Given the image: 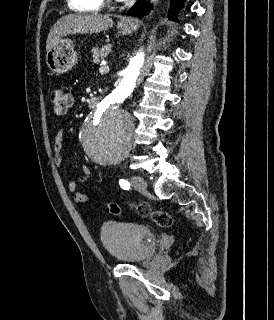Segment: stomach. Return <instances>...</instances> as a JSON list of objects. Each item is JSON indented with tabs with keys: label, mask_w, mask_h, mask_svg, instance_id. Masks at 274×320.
<instances>
[{
	"label": "stomach",
	"mask_w": 274,
	"mask_h": 320,
	"mask_svg": "<svg viewBox=\"0 0 274 320\" xmlns=\"http://www.w3.org/2000/svg\"><path fill=\"white\" fill-rule=\"evenodd\" d=\"M128 22H130L129 26H118V32L122 36H129L139 28V22H134V20H128ZM77 62L78 54L74 50L72 40L61 38L55 46L49 48L46 54V64L53 74L69 72Z\"/></svg>",
	"instance_id": "1"
}]
</instances>
